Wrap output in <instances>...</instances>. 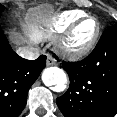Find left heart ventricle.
I'll return each mask as SVG.
<instances>
[{"mask_svg": "<svg viewBox=\"0 0 117 117\" xmlns=\"http://www.w3.org/2000/svg\"><path fill=\"white\" fill-rule=\"evenodd\" d=\"M95 28L96 24L93 20L84 22L74 35V43L77 45L85 43L93 35Z\"/></svg>", "mask_w": 117, "mask_h": 117, "instance_id": "obj_1", "label": "left heart ventricle"}]
</instances>
